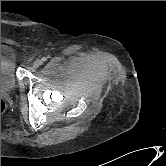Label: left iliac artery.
<instances>
[{
  "label": "left iliac artery",
  "mask_w": 166,
  "mask_h": 166,
  "mask_svg": "<svg viewBox=\"0 0 166 166\" xmlns=\"http://www.w3.org/2000/svg\"><path fill=\"white\" fill-rule=\"evenodd\" d=\"M47 60V58L46 57H43L42 59H41V62H45Z\"/></svg>",
  "instance_id": "1"
}]
</instances>
